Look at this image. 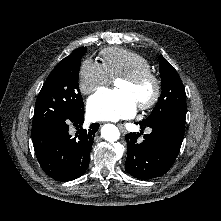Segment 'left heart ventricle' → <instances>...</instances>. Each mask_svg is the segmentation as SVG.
Returning a JSON list of instances; mask_svg holds the SVG:
<instances>
[{
  "label": "left heart ventricle",
  "instance_id": "b2bd125f",
  "mask_svg": "<svg viewBox=\"0 0 221 221\" xmlns=\"http://www.w3.org/2000/svg\"><path fill=\"white\" fill-rule=\"evenodd\" d=\"M116 87L119 90L129 93L133 97L137 105L146 101L151 96L153 91L152 84L149 81L141 83L139 85H134L124 80H118L116 82Z\"/></svg>",
  "mask_w": 221,
  "mask_h": 221
}]
</instances>
